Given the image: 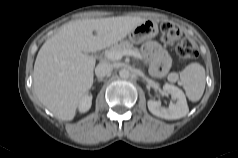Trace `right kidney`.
<instances>
[{"instance_id": "right-kidney-1", "label": "right kidney", "mask_w": 238, "mask_h": 158, "mask_svg": "<svg viewBox=\"0 0 238 158\" xmlns=\"http://www.w3.org/2000/svg\"><path fill=\"white\" fill-rule=\"evenodd\" d=\"M91 104H92V96L86 95L79 104V111L81 113L87 112L90 109Z\"/></svg>"}]
</instances>
